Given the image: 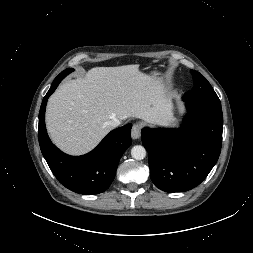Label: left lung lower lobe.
Wrapping results in <instances>:
<instances>
[{"label":"left lung lower lobe","mask_w":253,"mask_h":253,"mask_svg":"<svg viewBox=\"0 0 253 253\" xmlns=\"http://www.w3.org/2000/svg\"><path fill=\"white\" fill-rule=\"evenodd\" d=\"M188 116L181 129L141 132L153 183L165 192L199 185L216 164L222 144L221 103L185 101Z\"/></svg>","instance_id":"1"}]
</instances>
